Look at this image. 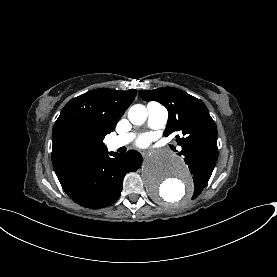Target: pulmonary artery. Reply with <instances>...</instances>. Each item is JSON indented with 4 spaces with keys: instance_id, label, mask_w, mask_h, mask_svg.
<instances>
[{
    "instance_id": "pulmonary-artery-1",
    "label": "pulmonary artery",
    "mask_w": 277,
    "mask_h": 277,
    "mask_svg": "<svg viewBox=\"0 0 277 277\" xmlns=\"http://www.w3.org/2000/svg\"><path fill=\"white\" fill-rule=\"evenodd\" d=\"M143 111L147 118V126L151 129H161L163 128L169 117L168 110L157 103H149L143 108ZM134 139L133 133H127L116 137L112 142L111 146L114 148H119L126 146Z\"/></svg>"
}]
</instances>
